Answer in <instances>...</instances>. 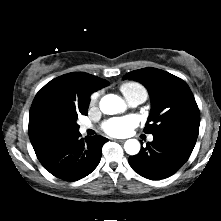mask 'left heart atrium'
<instances>
[{"mask_svg": "<svg viewBox=\"0 0 221 221\" xmlns=\"http://www.w3.org/2000/svg\"><path fill=\"white\" fill-rule=\"evenodd\" d=\"M137 118L134 116H124L109 119L103 124V130L114 137L128 135L137 125Z\"/></svg>", "mask_w": 221, "mask_h": 221, "instance_id": "left-heart-atrium-1", "label": "left heart atrium"}]
</instances>
